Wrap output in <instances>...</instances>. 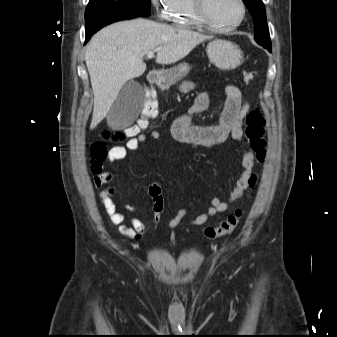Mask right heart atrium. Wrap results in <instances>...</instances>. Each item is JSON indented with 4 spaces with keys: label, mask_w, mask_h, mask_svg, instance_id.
Instances as JSON below:
<instances>
[{
    "label": "right heart atrium",
    "mask_w": 337,
    "mask_h": 337,
    "mask_svg": "<svg viewBox=\"0 0 337 337\" xmlns=\"http://www.w3.org/2000/svg\"><path fill=\"white\" fill-rule=\"evenodd\" d=\"M151 3L155 7L157 15L161 20L170 18V11L175 4V0H151Z\"/></svg>",
    "instance_id": "obj_1"
}]
</instances>
